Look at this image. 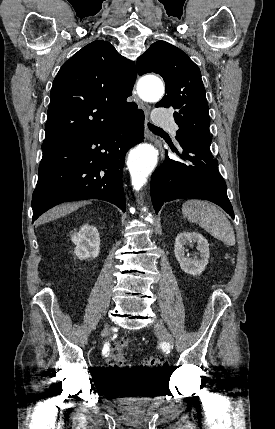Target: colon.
Segmentation results:
<instances>
[{"instance_id":"colon-1","label":"colon","mask_w":275,"mask_h":429,"mask_svg":"<svg viewBox=\"0 0 275 429\" xmlns=\"http://www.w3.org/2000/svg\"><path fill=\"white\" fill-rule=\"evenodd\" d=\"M125 350L126 341L117 342L112 346L108 356V364L111 368L125 371ZM144 366L151 370H159L163 367V361L158 357H148L144 360Z\"/></svg>"}]
</instances>
